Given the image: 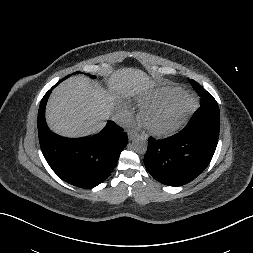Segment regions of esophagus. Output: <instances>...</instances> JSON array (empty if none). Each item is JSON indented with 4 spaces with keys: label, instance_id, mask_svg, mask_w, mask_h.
I'll list each match as a JSON object with an SVG mask.
<instances>
[{
    "label": "esophagus",
    "instance_id": "obj_1",
    "mask_svg": "<svg viewBox=\"0 0 253 253\" xmlns=\"http://www.w3.org/2000/svg\"><path fill=\"white\" fill-rule=\"evenodd\" d=\"M137 136H138V134L135 131H129L128 132V138H129L130 141L133 140Z\"/></svg>",
    "mask_w": 253,
    "mask_h": 253
}]
</instances>
